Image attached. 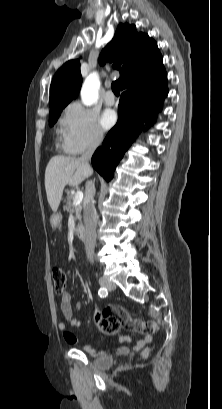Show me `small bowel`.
Returning a JSON list of instances; mask_svg holds the SVG:
<instances>
[{"label":"small bowel","mask_w":222,"mask_h":409,"mask_svg":"<svg viewBox=\"0 0 222 409\" xmlns=\"http://www.w3.org/2000/svg\"><path fill=\"white\" fill-rule=\"evenodd\" d=\"M60 308L64 321H60L58 323V328L60 331L63 332L64 340L68 345L78 346L79 339L76 337V335H74L67 329V324H69V326L72 328H79L81 325L80 321L74 316L72 297L69 292H64L61 295ZM76 308L80 309L81 305L76 304ZM112 310H113L112 318L118 322L119 329L124 328L126 330L144 333V336L133 345V348L135 350H139L144 345L150 343L153 334H155L159 330V326L156 322L153 321L144 322L141 320H134L130 317L128 312L121 307H113ZM120 339L121 341L130 340L128 336H122ZM84 350L91 356H100L106 353V351H98L90 346L84 347ZM129 351H130L129 348L126 346H120L115 349V352L119 355H127Z\"/></svg>","instance_id":"obj_1"}]
</instances>
